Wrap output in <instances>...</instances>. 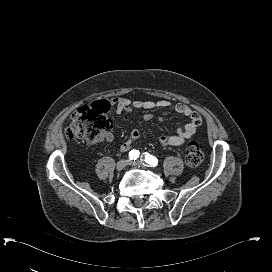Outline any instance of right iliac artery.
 Wrapping results in <instances>:
<instances>
[{
    "label": "right iliac artery",
    "instance_id": "right-iliac-artery-1",
    "mask_svg": "<svg viewBox=\"0 0 272 272\" xmlns=\"http://www.w3.org/2000/svg\"><path fill=\"white\" fill-rule=\"evenodd\" d=\"M139 154V151L133 149L129 152V158L131 160H136L139 157Z\"/></svg>",
    "mask_w": 272,
    "mask_h": 272
}]
</instances>
